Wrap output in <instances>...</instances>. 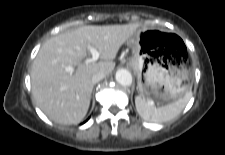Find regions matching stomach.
I'll list each match as a JSON object with an SVG mask.
<instances>
[{"label":"stomach","instance_id":"0dacf381","mask_svg":"<svg viewBox=\"0 0 225 155\" xmlns=\"http://www.w3.org/2000/svg\"><path fill=\"white\" fill-rule=\"evenodd\" d=\"M169 43L170 35L147 28H140L129 39L133 50L130 66L137 73L138 91L153 102L180 99L191 88L192 75L186 64L164 52Z\"/></svg>","mask_w":225,"mask_h":155}]
</instances>
